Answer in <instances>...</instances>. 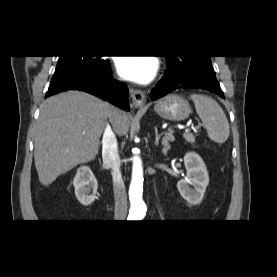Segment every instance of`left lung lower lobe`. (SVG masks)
<instances>
[{"label": "left lung lower lobe", "mask_w": 277, "mask_h": 277, "mask_svg": "<svg viewBox=\"0 0 277 277\" xmlns=\"http://www.w3.org/2000/svg\"><path fill=\"white\" fill-rule=\"evenodd\" d=\"M185 88L207 90L224 98L213 69H192L185 72L167 70L151 91L150 98L156 100L174 90Z\"/></svg>", "instance_id": "obj_1"}]
</instances>
